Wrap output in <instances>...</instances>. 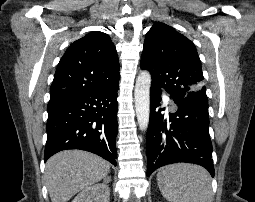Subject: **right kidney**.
I'll return each mask as SVG.
<instances>
[{
    "mask_svg": "<svg viewBox=\"0 0 255 202\" xmlns=\"http://www.w3.org/2000/svg\"><path fill=\"white\" fill-rule=\"evenodd\" d=\"M110 188L104 183L83 189L72 202H109Z\"/></svg>",
    "mask_w": 255,
    "mask_h": 202,
    "instance_id": "right-kidney-1",
    "label": "right kidney"
}]
</instances>
